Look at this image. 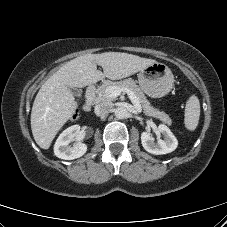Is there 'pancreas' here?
I'll use <instances>...</instances> for the list:
<instances>
[{
  "mask_svg": "<svg viewBox=\"0 0 227 227\" xmlns=\"http://www.w3.org/2000/svg\"><path fill=\"white\" fill-rule=\"evenodd\" d=\"M110 87H117V88H128L134 92L136 95L144 113L147 116L157 118L161 120L162 122L171 125L172 121L169 115H167L165 112H160L159 110L153 108L149 101L146 99V96L140 89V87L136 84V82L132 79H125L123 81H105L101 86H99L96 90L98 100L104 101V100H113L114 98H110L106 90Z\"/></svg>",
  "mask_w": 227,
  "mask_h": 227,
  "instance_id": "obj_1",
  "label": "pancreas"
}]
</instances>
